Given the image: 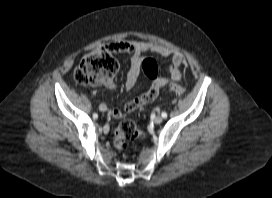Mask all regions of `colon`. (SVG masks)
<instances>
[{
    "label": "colon",
    "mask_w": 272,
    "mask_h": 198,
    "mask_svg": "<svg viewBox=\"0 0 272 198\" xmlns=\"http://www.w3.org/2000/svg\"><path fill=\"white\" fill-rule=\"evenodd\" d=\"M112 52L114 51L108 45L107 48L85 55L75 68V80L82 85H98L110 80L119 68ZM142 68L146 75L157 73L154 60L143 61ZM170 90L176 95L185 93V88L176 83L170 84ZM145 136V131L137 127L133 121L123 120L115 131L113 145L118 151H123L128 140L143 139Z\"/></svg>",
    "instance_id": "obj_1"
}]
</instances>
